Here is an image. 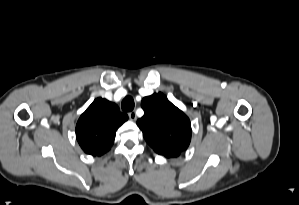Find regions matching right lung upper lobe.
Returning <instances> with one entry per match:
<instances>
[{
    "label": "right lung upper lobe",
    "instance_id": "cb5924a9",
    "mask_svg": "<svg viewBox=\"0 0 299 205\" xmlns=\"http://www.w3.org/2000/svg\"><path fill=\"white\" fill-rule=\"evenodd\" d=\"M128 119L116 104L97 98L79 118L76 137L85 153L100 156L112 146L116 130Z\"/></svg>",
    "mask_w": 299,
    "mask_h": 205
}]
</instances>
